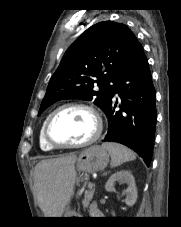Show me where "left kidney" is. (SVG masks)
I'll list each match as a JSON object with an SVG mask.
<instances>
[{
    "instance_id": "obj_1",
    "label": "left kidney",
    "mask_w": 181,
    "mask_h": 227,
    "mask_svg": "<svg viewBox=\"0 0 181 227\" xmlns=\"http://www.w3.org/2000/svg\"><path fill=\"white\" fill-rule=\"evenodd\" d=\"M116 181L120 183H126L128 185V188L125 190V202L128 206H133L137 200V189L135 185V179L131 172L127 170H121L112 174L106 182L105 189L108 192H114V183Z\"/></svg>"
}]
</instances>
